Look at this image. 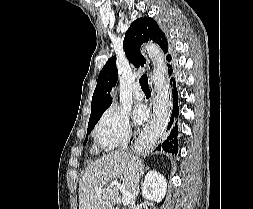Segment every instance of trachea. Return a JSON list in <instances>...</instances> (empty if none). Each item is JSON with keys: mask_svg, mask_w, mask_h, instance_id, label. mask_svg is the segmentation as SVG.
I'll use <instances>...</instances> for the list:
<instances>
[{"mask_svg": "<svg viewBox=\"0 0 253 209\" xmlns=\"http://www.w3.org/2000/svg\"><path fill=\"white\" fill-rule=\"evenodd\" d=\"M139 83L141 85L142 90H149L148 77L147 75L141 76L139 79Z\"/></svg>", "mask_w": 253, "mask_h": 209, "instance_id": "3493384b", "label": "trachea"}]
</instances>
